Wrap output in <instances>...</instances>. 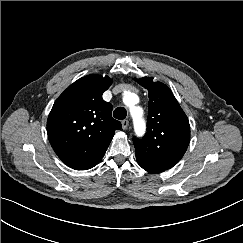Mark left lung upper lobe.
<instances>
[{"label":"left lung upper lobe","mask_w":243,"mask_h":243,"mask_svg":"<svg viewBox=\"0 0 243 243\" xmlns=\"http://www.w3.org/2000/svg\"><path fill=\"white\" fill-rule=\"evenodd\" d=\"M136 81L149 91L147 132L142 139L134 137L136 160L149 173L164 172L187 150L189 121L168 86L150 77Z\"/></svg>","instance_id":"5c2ea615"}]
</instances>
